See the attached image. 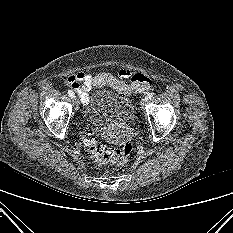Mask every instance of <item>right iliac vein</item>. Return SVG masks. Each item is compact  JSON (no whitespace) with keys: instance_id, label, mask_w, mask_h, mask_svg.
Instances as JSON below:
<instances>
[{"instance_id":"63e3f726","label":"right iliac vein","mask_w":233,"mask_h":233,"mask_svg":"<svg viewBox=\"0 0 233 233\" xmlns=\"http://www.w3.org/2000/svg\"><path fill=\"white\" fill-rule=\"evenodd\" d=\"M74 101H75V103H76V109H78V102L76 101V98H75V96L72 98Z\"/></svg>"}]
</instances>
